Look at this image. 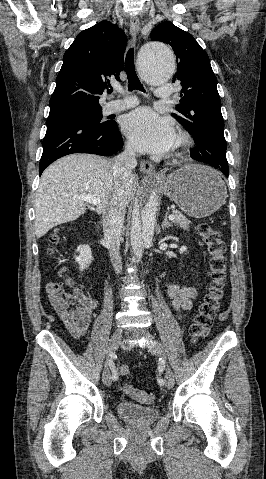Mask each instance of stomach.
Listing matches in <instances>:
<instances>
[{
  "instance_id": "obj_1",
  "label": "stomach",
  "mask_w": 266,
  "mask_h": 479,
  "mask_svg": "<svg viewBox=\"0 0 266 479\" xmlns=\"http://www.w3.org/2000/svg\"><path fill=\"white\" fill-rule=\"evenodd\" d=\"M161 190L188 216L204 218L216 212L227 197V189L216 170L188 165L159 182Z\"/></svg>"
}]
</instances>
